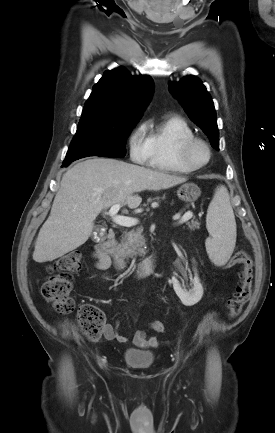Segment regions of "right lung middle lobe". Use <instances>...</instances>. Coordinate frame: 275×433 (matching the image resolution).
I'll use <instances>...</instances> for the list:
<instances>
[{
    "label": "right lung middle lobe",
    "instance_id": "1",
    "mask_svg": "<svg viewBox=\"0 0 275 433\" xmlns=\"http://www.w3.org/2000/svg\"><path fill=\"white\" fill-rule=\"evenodd\" d=\"M137 121L121 123L80 122L62 167L88 156L124 157L126 138Z\"/></svg>",
    "mask_w": 275,
    "mask_h": 433
}]
</instances>
